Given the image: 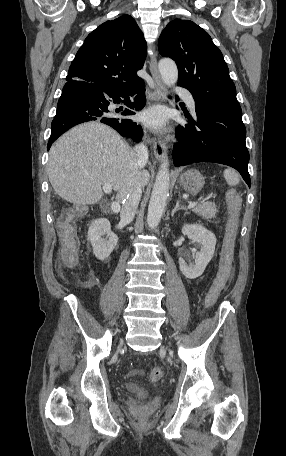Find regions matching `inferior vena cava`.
<instances>
[{
    "label": "inferior vena cava",
    "mask_w": 286,
    "mask_h": 456,
    "mask_svg": "<svg viewBox=\"0 0 286 456\" xmlns=\"http://www.w3.org/2000/svg\"><path fill=\"white\" fill-rule=\"evenodd\" d=\"M135 152L138 156V167L141 169L148 159V149L144 144H139L135 147ZM142 194V182L140 177H136L128 190L125 198L123 199L122 208L120 211L121 221L130 223L133 221L139 201Z\"/></svg>",
    "instance_id": "602c4592"
}]
</instances>
